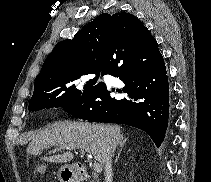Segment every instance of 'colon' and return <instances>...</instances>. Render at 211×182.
I'll return each mask as SVG.
<instances>
[{
	"label": "colon",
	"mask_w": 211,
	"mask_h": 182,
	"mask_svg": "<svg viewBox=\"0 0 211 182\" xmlns=\"http://www.w3.org/2000/svg\"><path fill=\"white\" fill-rule=\"evenodd\" d=\"M43 172H44L43 166L39 165L37 168V173L41 175V174H43Z\"/></svg>",
	"instance_id": "colon-1"
}]
</instances>
